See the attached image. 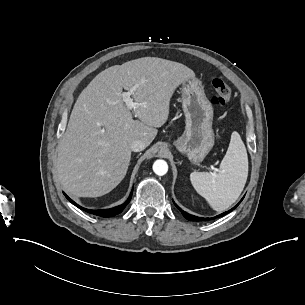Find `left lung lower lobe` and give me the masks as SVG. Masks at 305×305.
Instances as JSON below:
<instances>
[{"instance_id": "0a47b994", "label": "left lung lower lobe", "mask_w": 305, "mask_h": 305, "mask_svg": "<svg viewBox=\"0 0 305 305\" xmlns=\"http://www.w3.org/2000/svg\"><path fill=\"white\" fill-rule=\"evenodd\" d=\"M243 198H244V197H243ZM243 198L241 199V201L243 200ZM241 201H240V202H241ZM240 202H239L234 208H232L231 210H229V211H227V212H224V213H222V214H220V215H218V216H216V217H212V218L197 217V216L191 215V214H189V213L183 211L181 208L178 207V205L175 204V206L182 212L183 216H184L186 219L190 220V221H208V220H213V219H215V218H219V217H221V216H223V215H225V214L231 212L233 209H235V208L240 204Z\"/></svg>"}]
</instances>
